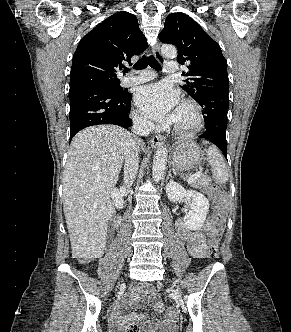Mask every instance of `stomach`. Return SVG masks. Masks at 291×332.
I'll list each match as a JSON object with an SVG mask.
<instances>
[{"instance_id":"1","label":"stomach","mask_w":291,"mask_h":332,"mask_svg":"<svg viewBox=\"0 0 291 332\" xmlns=\"http://www.w3.org/2000/svg\"><path fill=\"white\" fill-rule=\"evenodd\" d=\"M202 159L200 147L192 141H179L172 146L171 163L178 170H190Z\"/></svg>"}]
</instances>
